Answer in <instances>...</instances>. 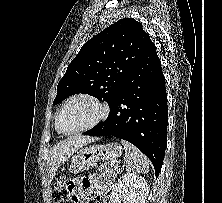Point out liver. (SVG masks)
Wrapping results in <instances>:
<instances>
[{
    "instance_id": "obj_1",
    "label": "liver",
    "mask_w": 222,
    "mask_h": 203,
    "mask_svg": "<svg viewBox=\"0 0 222 203\" xmlns=\"http://www.w3.org/2000/svg\"><path fill=\"white\" fill-rule=\"evenodd\" d=\"M95 140V138L89 136H74L56 144L50 151L48 158V176L50 181L53 180L58 168L64 164L71 155L84 145Z\"/></svg>"
}]
</instances>
